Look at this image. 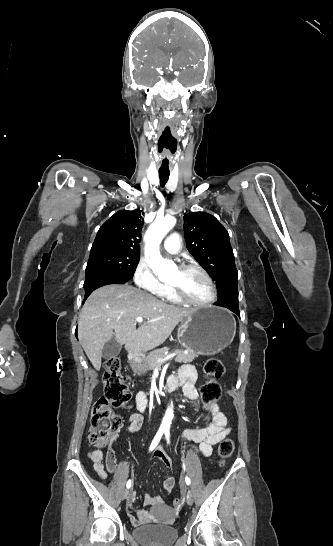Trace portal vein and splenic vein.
<instances>
[{
  "mask_svg": "<svg viewBox=\"0 0 333 546\" xmlns=\"http://www.w3.org/2000/svg\"><path fill=\"white\" fill-rule=\"evenodd\" d=\"M143 321H144V319H143L142 317H137V318H136V322H137V323H140V324H141V323H143ZM176 355H177V353H171V354H168V355H167L166 357H164V358H160L158 361H159V362H163V361H166V360H168V359L173 358V357L176 356Z\"/></svg>",
  "mask_w": 333,
  "mask_h": 546,
  "instance_id": "obj_1",
  "label": "portal vein and splenic vein"
}]
</instances>
